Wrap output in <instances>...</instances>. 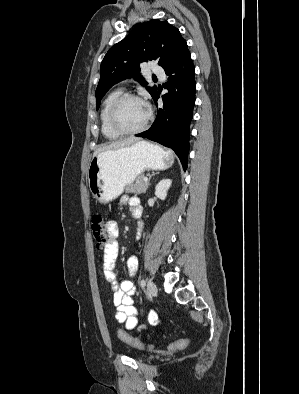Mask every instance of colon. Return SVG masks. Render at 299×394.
<instances>
[{"label": "colon", "instance_id": "obj_1", "mask_svg": "<svg viewBox=\"0 0 299 394\" xmlns=\"http://www.w3.org/2000/svg\"><path fill=\"white\" fill-rule=\"evenodd\" d=\"M106 218L103 214L96 213L92 217L91 223V232L94 238V241L98 247H104L108 242V232L106 226ZM118 337L121 341L136 346L138 348H143V346L131 338L126 332L123 330L118 331ZM190 343L189 339H183L172 345L173 348H183L188 346Z\"/></svg>", "mask_w": 299, "mask_h": 394}]
</instances>
